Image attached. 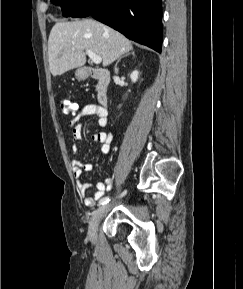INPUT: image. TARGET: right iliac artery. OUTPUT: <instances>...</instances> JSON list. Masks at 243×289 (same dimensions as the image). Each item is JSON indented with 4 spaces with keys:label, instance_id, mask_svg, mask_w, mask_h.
Returning <instances> with one entry per match:
<instances>
[{
    "label": "right iliac artery",
    "instance_id": "82829eb1",
    "mask_svg": "<svg viewBox=\"0 0 243 289\" xmlns=\"http://www.w3.org/2000/svg\"><path fill=\"white\" fill-rule=\"evenodd\" d=\"M126 194V190L121 194V197L122 196H124ZM109 202V197H104V198H102L100 201H99V204L100 205H104V204H106V203H108Z\"/></svg>",
    "mask_w": 243,
    "mask_h": 289
}]
</instances>
